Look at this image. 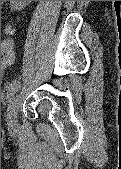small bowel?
Segmentation results:
<instances>
[{
    "mask_svg": "<svg viewBox=\"0 0 121 169\" xmlns=\"http://www.w3.org/2000/svg\"><path fill=\"white\" fill-rule=\"evenodd\" d=\"M14 2H15V6H16L17 8H19V7H23V6L27 5V4L30 3L31 1H14Z\"/></svg>",
    "mask_w": 121,
    "mask_h": 169,
    "instance_id": "c3829d8e",
    "label": "small bowel"
}]
</instances>
